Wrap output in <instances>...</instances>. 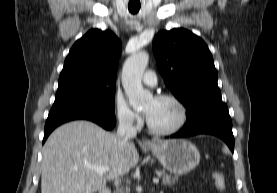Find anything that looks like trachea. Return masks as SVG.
Masks as SVG:
<instances>
[{
    "instance_id": "3493384b",
    "label": "trachea",
    "mask_w": 277,
    "mask_h": 193,
    "mask_svg": "<svg viewBox=\"0 0 277 193\" xmlns=\"http://www.w3.org/2000/svg\"><path fill=\"white\" fill-rule=\"evenodd\" d=\"M128 9L131 13L136 14L139 11L140 6H128Z\"/></svg>"
}]
</instances>
